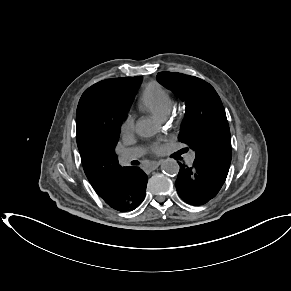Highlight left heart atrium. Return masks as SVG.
<instances>
[{
	"instance_id": "39dd6f15",
	"label": "left heart atrium",
	"mask_w": 291,
	"mask_h": 291,
	"mask_svg": "<svg viewBox=\"0 0 291 291\" xmlns=\"http://www.w3.org/2000/svg\"><path fill=\"white\" fill-rule=\"evenodd\" d=\"M152 151H153L154 153H160V152L162 151V147L159 146L158 144H154V145L152 146Z\"/></svg>"
}]
</instances>
